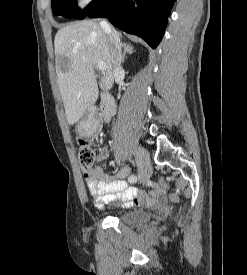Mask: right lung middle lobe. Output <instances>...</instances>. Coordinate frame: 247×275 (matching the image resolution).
Instances as JSON below:
<instances>
[{
    "label": "right lung middle lobe",
    "mask_w": 247,
    "mask_h": 275,
    "mask_svg": "<svg viewBox=\"0 0 247 275\" xmlns=\"http://www.w3.org/2000/svg\"><path fill=\"white\" fill-rule=\"evenodd\" d=\"M105 0H93L84 10L77 6V0H52L51 6L55 15L66 18L83 19Z\"/></svg>",
    "instance_id": "1"
}]
</instances>
